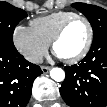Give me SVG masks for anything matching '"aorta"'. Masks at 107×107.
<instances>
[{
  "instance_id": "obj_1",
  "label": "aorta",
  "mask_w": 107,
  "mask_h": 107,
  "mask_svg": "<svg viewBox=\"0 0 107 107\" xmlns=\"http://www.w3.org/2000/svg\"><path fill=\"white\" fill-rule=\"evenodd\" d=\"M50 77L56 82H61L65 79V72L58 67L52 68L50 71Z\"/></svg>"
}]
</instances>
